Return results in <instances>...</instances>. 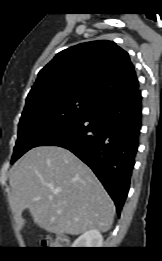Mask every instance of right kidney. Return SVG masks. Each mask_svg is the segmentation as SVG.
Returning <instances> with one entry per match:
<instances>
[{
	"label": "right kidney",
	"instance_id": "ca27d5eb",
	"mask_svg": "<svg viewBox=\"0 0 162 261\" xmlns=\"http://www.w3.org/2000/svg\"><path fill=\"white\" fill-rule=\"evenodd\" d=\"M103 237L98 230H89L79 236L72 244V248H100Z\"/></svg>",
	"mask_w": 162,
	"mask_h": 261
}]
</instances>
